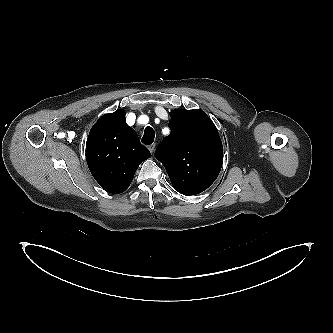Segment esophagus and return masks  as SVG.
Masks as SVG:
<instances>
[{"mask_svg":"<svg viewBox=\"0 0 333 333\" xmlns=\"http://www.w3.org/2000/svg\"><path fill=\"white\" fill-rule=\"evenodd\" d=\"M148 149H149V151H150L151 153H153L154 150H155V144L153 143V144L149 145V146H148Z\"/></svg>","mask_w":333,"mask_h":333,"instance_id":"obj_1","label":"esophagus"}]
</instances>
